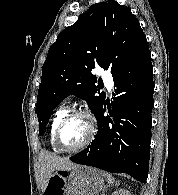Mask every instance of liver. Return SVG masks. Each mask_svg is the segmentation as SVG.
<instances>
[{"mask_svg":"<svg viewBox=\"0 0 178 195\" xmlns=\"http://www.w3.org/2000/svg\"><path fill=\"white\" fill-rule=\"evenodd\" d=\"M75 166L77 165L68 160V158H62L47 152L41 153L40 178L42 191L46 189L50 177L56 170H70Z\"/></svg>","mask_w":178,"mask_h":195,"instance_id":"6515ba94","label":"liver"}]
</instances>
